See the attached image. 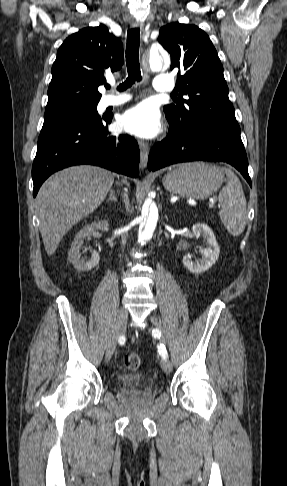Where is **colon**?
<instances>
[{"instance_id": "1", "label": "colon", "mask_w": 287, "mask_h": 486, "mask_svg": "<svg viewBox=\"0 0 287 486\" xmlns=\"http://www.w3.org/2000/svg\"><path fill=\"white\" fill-rule=\"evenodd\" d=\"M124 365L129 370H137L142 365V358L137 353H128L124 356Z\"/></svg>"}]
</instances>
